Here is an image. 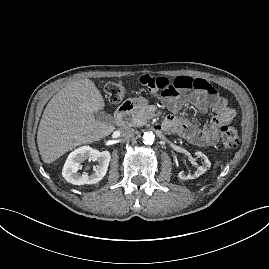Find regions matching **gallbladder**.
<instances>
[{"mask_svg": "<svg viewBox=\"0 0 269 269\" xmlns=\"http://www.w3.org/2000/svg\"><path fill=\"white\" fill-rule=\"evenodd\" d=\"M96 116L98 118V120L105 122V123H112L113 119L111 117V115L105 113V112H97Z\"/></svg>", "mask_w": 269, "mask_h": 269, "instance_id": "1", "label": "gallbladder"}]
</instances>
